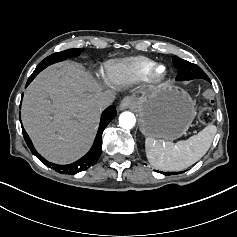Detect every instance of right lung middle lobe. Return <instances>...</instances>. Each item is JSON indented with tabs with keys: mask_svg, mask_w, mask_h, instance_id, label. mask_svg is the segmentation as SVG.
Wrapping results in <instances>:
<instances>
[{
	"mask_svg": "<svg viewBox=\"0 0 237 237\" xmlns=\"http://www.w3.org/2000/svg\"><path fill=\"white\" fill-rule=\"evenodd\" d=\"M81 49H69L62 52L54 53L46 57L43 61L39 63L32 74L37 75L47 66L65 60L67 57H76L80 54Z\"/></svg>",
	"mask_w": 237,
	"mask_h": 237,
	"instance_id": "dd1d6c3e",
	"label": "right lung middle lobe"
}]
</instances>
